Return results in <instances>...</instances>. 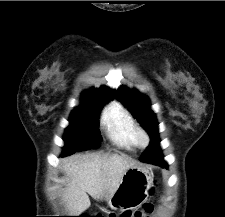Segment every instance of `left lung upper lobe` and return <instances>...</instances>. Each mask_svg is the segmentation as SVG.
Segmentation results:
<instances>
[{"instance_id": "1", "label": "left lung upper lobe", "mask_w": 225, "mask_h": 217, "mask_svg": "<svg viewBox=\"0 0 225 217\" xmlns=\"http://www.w3.org/2000/svg\"><path fill=\"white\" fill-rule=\"evenodd\" d=\"M115 95L124 103L133 116L137 118L141 125L146 129L151 137V141L153 139H159L158 122L154 113L150 109V101L147 96L138 93L136 89L131 90L126 86H120ZM147 150L141 158L147 155Z\"/></svg>"}]
</instances>
